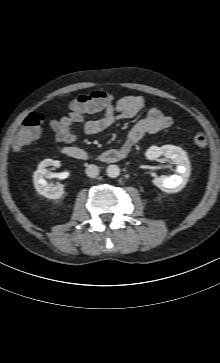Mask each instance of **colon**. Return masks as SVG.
<instances>
[{"mask_svg": "<svg viewBox=\"0 0 220 363\" xmlns=\"http://www.w3.org/2000/svg\"><path fill=\"white\" fill-rule=\"evenodd\" d=\"M86 95L77 96L72 105L81 103L85 100ZM89 96L95 99L100 104H107L113 100L114 95L107 91H95ZM45 120L44 115L41 112H31L28 114L15 135L12 146L15 150H21L28 146L34 139H36L40 132L42 124ZM194 142L199 147H205L208 143V137L204 132H197L194 136Z\"/></svg>", "mask_w": 220, "mask_h": 363, "instance_id": "1", "label": "colon"}]
</instances>
